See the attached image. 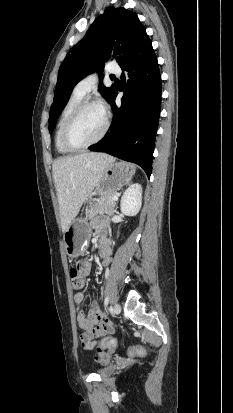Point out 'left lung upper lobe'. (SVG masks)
Returning <instances> with one entry per match:
<instances>
[{"label":"left lung upper lobe","mask_w":233,"mask_h":413,"mask_svg":"<svg viewBox=\"0 0 233 413\" xmlns=\"http://www.w3.org/2000/svg\"><path fill=\"white\" fill-rule=\"evenodd\" d=\"M146 37V29L136 13L124 8H107L90 26L86 35L66 55L58 73L54 101L50 108L49 132L65 107L74 86L94 71H101L114 49L119 65ZM110 99L113 87L101 86Z\"/></svg>","instance_id":"5c2ea615"}]
</instances>
